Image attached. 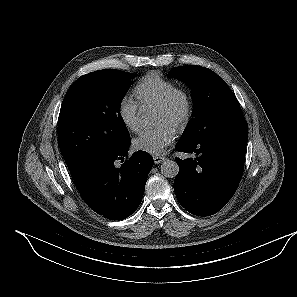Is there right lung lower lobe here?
I'll return each mask as SVG.
<instances>
[{"mask_svg":"<svg viewBox=\"0 0 297 297\" xmlns=\"http://www.w3.org/2000/svg\"><path fill=\"white\" fill-rule=\"evenodd\" d=\"M129 147L130 141L115 151L94 153L70 169L86 204L111 220H123L138 208L154 163L145 151L128 157Z\"/></svg>","mask_w":297,"mask_h":297,"instance_id":"right-lung-lower-lobe-1","label":"right lung lower lobe"}]
</instances>
